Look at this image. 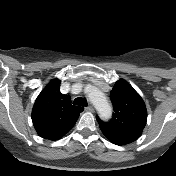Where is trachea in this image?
<instances>
[{
    "mask_svg": "<svg viewBox=\"0 0 176 176\" xmlns=\"http://www.w3.org/2000/svg\"><path fill=\"white\" fill-rule=\"evenodd\" d=\"M73 104L79 105V106H87V101L83 97H78V98L74 99Z\"/></svg>",
    "mask_w": 176,
    "mask_h": 176,
    "instance_id": "1",
    "label": "trachea"
}]
</instances>
